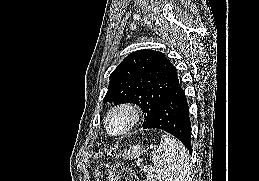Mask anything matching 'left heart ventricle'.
I'll return each mask as SVG.
<instances>
[{
  "instance_id": "obj_1",
  "label": "left heart ventricle",
  "mask_w": 259,
  "mask_h": 181,
  "mask_svg": "<svg viewBox=\"0 0 259 181\" xmlns=\"http://www.w3.org/2000/svg\"><path fill=\"white\" fill-rule=\"evenodd\" d=\"M124 117L123 116H116L111 121V126L113 130L120 129L124 124Z\"/></svg>"
}]
</instances>
